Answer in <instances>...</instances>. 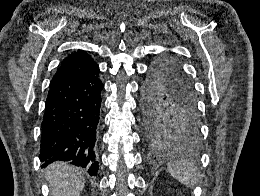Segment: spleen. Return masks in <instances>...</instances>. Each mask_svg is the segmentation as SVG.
<instances>
[{
  "label": "spleen",
  "instance_id": "1",
  "mask_svg": "<svg viewBox=\"0 0 260 196\" xmlns=\"http://www.w3.org/2000/svg\"><path fill=\"white\" fill-rule=\"evenodd\" d=\"M167 170L172 178L184 184V186H195L199 180L200 172L191 162L181 160V162H171L168 164Z\"/></svg>",
  "mask_w": 260,
  "mask_h": 196
}]
</instances>
